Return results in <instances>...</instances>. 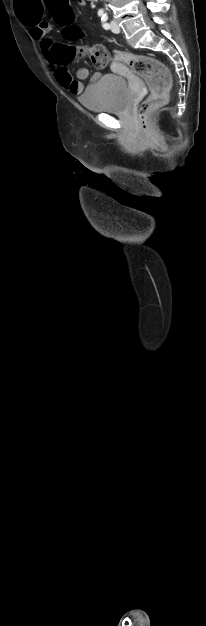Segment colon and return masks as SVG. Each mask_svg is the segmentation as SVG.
Segmentation results:
<instances>
[{"label":"colon","instance_id":"5ec220e1","mask_svg":"<svg viewBox=\"0 0 206 626\" xmlns=\"http://www.w3.org/2000/svg\"><path fill=\"white\" fill-rule=\"evenodd\" d=\"M46 6L51 11L58 24L65 27L64 33L69 38H76L81 35V31L73 24L74 14L69 0H45ZM89 57L92 63L98 68H104L109 61V53L102 45L93 46H56L54 56L59 64H67L76 56ZM115 56L118 60L126 63L141 77L148 85L150 93L141 103L138 116L144 129H148L147 114L152 109L166 103L171 87V76L163 62L160 60L136 55L123 50H116Z\"/></svg>","mask_w":206,"mask_h":626}]
</instances>
